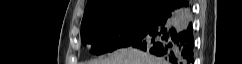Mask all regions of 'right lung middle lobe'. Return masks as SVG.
Here are the masks:
<instances>
[{"instance_id":"right-lung-middle-lobe-1","label":"right lung middle lobe","mask_w":242,"mask_h":64,"mask_svg":"<svg viewBox=\"0 0 242 64\" xmlns=\"http://www.w3.org/2000/svg\"><path fill=\"white\" fill-rule=\"evenodd\" d=\"M159 16L158 11L138 8L95 17L81 24L82 44H91L96 55L131 46Z\"/></svg>"}]
</instances>
